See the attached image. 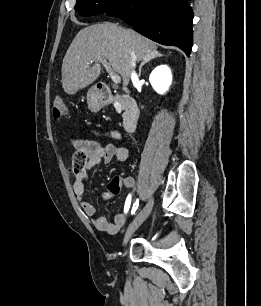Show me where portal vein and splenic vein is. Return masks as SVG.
<instances>
[{"label":"portal vein and splenic vein","mask_w":261,"mask_h":306,"mask_svg":"<svg viewBox=\"0 0 261 306\" xmlns=\"http://www.w3.org/2000/svg\"><path fill=\"white\" fill-rule=\"evenodd\" d=\"M93 62H100L105 67L106 71L108 72L109 76L115 84H119L121 82V77L112 70L111 65L107 62V60L95 58L90 63H88V65Z\"/></svg>","instance_id":"1"}]
</instances>
